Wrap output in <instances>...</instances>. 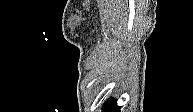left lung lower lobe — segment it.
I'll list each match as a JSON object with an SVG mask.
<instances>
[{
    "label": "left lung lower lobe",
    "mask_w": 193,
    "mask_h": 112,
    "mask_svg": "<svg viewBox=\"0 0 193 112\" xmlns=\"http://www.w3.org/2000/svg\"><path fill=\"white\" fill-rule=\"evenodd\" d=\"M103 112H119V107L114 99H109L103 106Z\"/></svg>",
    "instance_id": "0a47b994"
}]
</instances>
